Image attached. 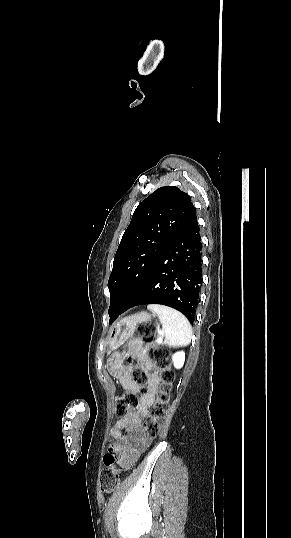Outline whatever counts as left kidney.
<instances>
[{
    "instance_id": "left-kidney-1",
    "label": "left kidney",
    "mask_w": 291,
    "mask_h": 538,
    "mask_svg": "<svg viewBox=\"0 0 291 538\" xmlns=\"http://www.w3.org/2000/svg\"><path fill=\"white\" fill-rule=\"evenodd\" d=\"M172 362L175 368H182L185 362V352L178 351L172 355Z\"/></svg>"
}]
</instances>
